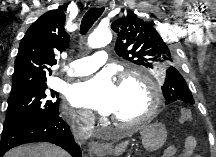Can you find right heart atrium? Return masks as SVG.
<instances>
[{"instance_id": "right-heart-atrium-1", "label": "right heart atrium", "mask_w": 216, "mask_h": 157, "mask_svg": "<svg viewBox=\"0 0 216 157\" xmlns=\"http://www.w3.org/2000/svg\"><path fill=\"white\" fill-rule=\"evenodd\" d=\"M62 114L65 119L75 125L79 130H86L91 126L92 116L89 113L74 112L66 105H63Z\"/></svg>"}]
</instances>
